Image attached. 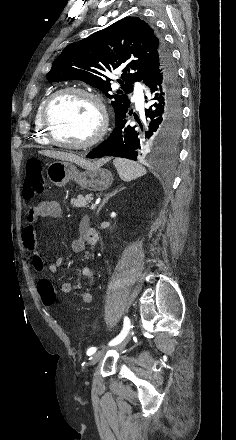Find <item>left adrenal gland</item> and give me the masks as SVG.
I'll list each match as a JSON object with an SVG mask.
<instances>
[{"mask_svg":"<svg viewBox=\"0 0 236 440\" xmlns=\"http://www.w3.org/2000/svg\"><path fill=\"white\" fill-rule=\"evenodd\" d=\"M123 189H125V188L122 187V188H120V189L115 190V191L112 192L111 194L107 195V196L103 199V201H102L101 205L99 206V208L97 209L96 214H97V215L99 214L100 210H101L102 207L105 205V203L108 202V200H109L110 197L114 196L115 194H117L119 191H121V190H123Z\"/></svg>","mask_w":236,"mask_h":440,"instance_id":"left-adrenal-gland-1","label":"left adrenal gland"}]
</instances>
